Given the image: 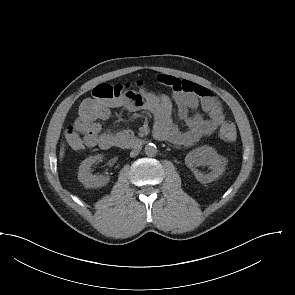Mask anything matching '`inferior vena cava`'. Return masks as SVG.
<instances>
[{
	"mask_svg": "<svg viewBox=\"0 0 295 295\" xmlns=\"http://www.w3.org/2000/svg\"><path fill=\"white\" fill-rule=\"evenodd\" d=\"M140 150H141V146H140V145H135V146L133 147L131 153H130V156H131V157H135V156H137V155L139 154Z\"/></svg>",
	"mask_w": 295,
	"mask_h": 295,
	"instance_id": "inferior-vena-cava-1",
	"label": "inferior vena cava"
}]
</instances>
